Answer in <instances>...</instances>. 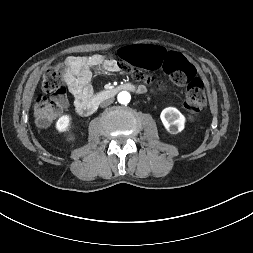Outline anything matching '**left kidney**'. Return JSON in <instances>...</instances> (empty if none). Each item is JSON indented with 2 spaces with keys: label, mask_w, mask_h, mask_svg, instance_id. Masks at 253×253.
<instances>
[{
  "label": "left kidney",
  "mask_w": 253,
  "mask_h": 253,
  "mask_svg": "<svg viewBox=\"0 0 253 253\" xmlns=\"http://www.w3.org/2000/svg\"><path fill=\"white\" fill-rule=\"evenodd\" d=\"M160 119L170 134H177L185 127V116L175 107L163 109L160 114Z\"/></svg>",
  "instance_id": "1"
}]
</instances>
